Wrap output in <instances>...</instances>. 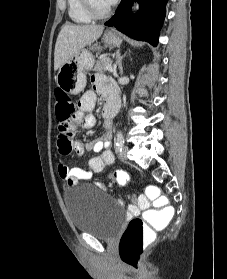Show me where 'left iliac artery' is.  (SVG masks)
I'll list each match as a JSON object with an SVG mask.
<instances>
[{"label":"left iliac artery","mask_w":227,"mask_h":279,"mask_svg":"<svg viewBox=\"0 0 227 279\" xmlns=\"http://www.w3.org/2000/svg\"><path fill=\"white\" fill-rule=\"evenodd\" d=\"M124 137L121 131L117 132V142H116V151H122V148L124 146Z\"/></svg>","instance_id":"obj_1"}]
</instances>
